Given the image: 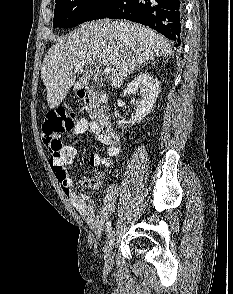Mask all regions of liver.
<instances>
[{"label": "liver", "instance_id": "liver-1", "mask_svg": "<svg viewBox=\"0 0 233 294\" xmlns=\"http://www.w3.org/2000/svg\"><path fill=\"white\" fill-rule=\"evenodd\" d=\"M173 54L162 35L143 25L109 19L85 23L72 34L58 38L43 60L41 77L48 106H59L71 87L76 91L86 86L94 65L111 67L110 83L119 87L136 67ZM79 63H84L85 71L76 81L73 69Z\"/></svg>", "mask_w": 233, "mask_h": 294}]
</instances>
